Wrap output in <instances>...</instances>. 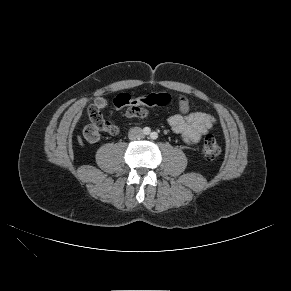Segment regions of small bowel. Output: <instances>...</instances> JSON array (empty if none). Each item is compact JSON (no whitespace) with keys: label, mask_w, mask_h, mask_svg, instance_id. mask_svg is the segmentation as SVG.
Here are the masks:
<instances>
[{"label":"small bowel","mask_w":291,"mask_h":291,"mask_svg":"<svg viewBox=\"0 0 291 291\" xmlns=\"http://www.w3.org/2000/svg\"><path fill=\"white\" fill-rule=\"evenodd\" d=\"M108 105L109 100L103 96L97 97L93 103V106L101 115ZM148 107L151 106L148 104L129 103L126 107L125 115L127 118H144L149 114ZM178 110V113L168 117L167 123L173 132L180 135L183 141L189 145L197 144L216 124V119L208 113L191 112L189 101L184 97L178 100ZM114 127L116 131L113 135L118 132L117 126L114 125Z\"/></svg>","instance_id":"small-bowel-1"}]
</instances>
